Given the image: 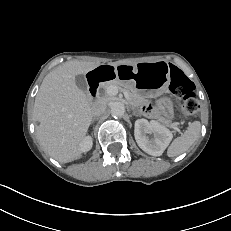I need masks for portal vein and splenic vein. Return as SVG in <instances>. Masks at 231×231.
I'll use <instances>...</instances> for the list:
<instances>
[{"label": "portal vein and splenic vein", "instance_id": "18ae733b", "mask_svg": "<svg viewBox=\"0 0 231 231\" xmlns=\"http://www.w3.org/2000/svg\"><path fill=\"white\" fill-rule=\"evenodd\" d=\"M108 95H116L118 93V88L116 86H109L106 90ZM124 96L126 99H129V94L124 92Z\"/></svg>", "mask_w": 231, "mask_h": 231}]
</instances>
